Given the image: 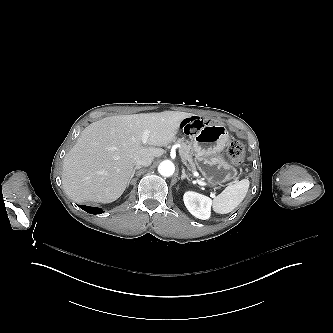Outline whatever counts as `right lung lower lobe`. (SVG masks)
I'll list each match as a JSON object with an SVG mask.
<instances>
[{
    "label": "right lung lower lobe",
    "mask_w": 333,
    "mask_h": 333,
    "mask_svg": "<svg viewBox=\"0 0 333 333\" xmlns=\"http://www.w3.org/2000/svg\"><path fill=\"white\" fill-rule=\"evenodd\" d=\"M80 207L85 210L88 213L91 214H101L102 213V209L97 208V207H89V206H85V205H80Z\"/></svg>",
    "instance_id": "1"
}]
</instances>
